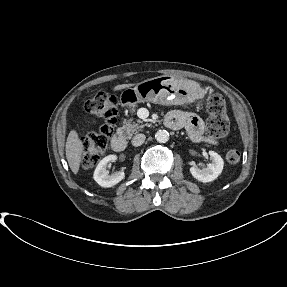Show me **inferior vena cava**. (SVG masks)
I'll return each mask as SVG.
<instances>
[{"label": "inferior vena cava", "mask_w": 287, "mask_h": 287, "mask_svg": "<svg viewBox=\"0 0 287 287\" xmlns=\"http://www.w3.org/2000/svg\"><path fill=\"white\" fill-rule=\"evenodd\" d=\"M146 139L144 134H137L132 138V145L135 147L141 146Z\"/></svg>", "instance_id": "602c4592"}]
</instances>
